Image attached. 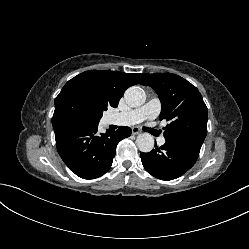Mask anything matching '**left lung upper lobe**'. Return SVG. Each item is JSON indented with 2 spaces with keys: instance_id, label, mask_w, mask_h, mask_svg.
I'll list each match as a JSON object with an SVG mask.
<instances>
[{
  "instance_id": "obj_1",
  "label": "left lung upper lobe",
  "mask_w": 249,
  "mask_h": 249,
  "mask_svg": "<svg viewBox=\"0 0 249 249\" xmlns=\"http://www.w3.org/2000/svg\"><path fill=\"white\" fill-rule=\"evenodd\" d=\"M142 85L152 87L162 104L160 120L170 123L164 137L203 143L207 134L208 110L198 89L171 73L145 74Z\"/></svg>"
}]
</instances>
